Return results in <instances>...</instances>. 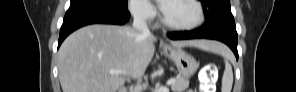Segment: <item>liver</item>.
Wrapping results in <instances>:
<instances>
[{"label":"liver","instance_id":"liver-1","mask_svg":"<svg viewBox=\"0 0 296 92\" xmlns=\"http://www.w3.org/2000/svg\"><path fill=\"white\" fill-rule=\"evenodd\" d=\"M156 38L134 27L89 25L69 35L58 51L59 80L63 92H117L125 83L126 72L133 78L144 75L155 52ZM174 47H197L214 51L215 42L172 41Z\"/></svg>","mask_w":296,"mask_h":92}]
</instances>
